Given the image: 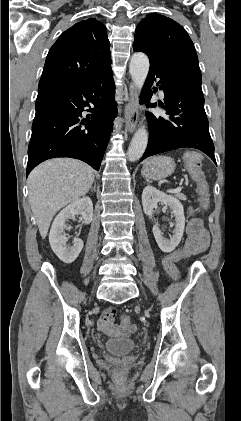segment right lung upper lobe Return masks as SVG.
<instances>
[{
  "instance_id": "1",
  "label": "right lung upper lobe",
  "mask_w": 241,
  "mask_h": 421,
  "mask_svg": "<svg viewBox=\"0 0 241 421\" xmlns=\"http://www.w3.org/2000/svg\"><path fill=\"white\" fill-rule=\"evenodd\" d=\"M106 27L94 18L63 32L51 47L38 86V94L87 82L111 68Z\"/></svg>"
}]
</instances>
